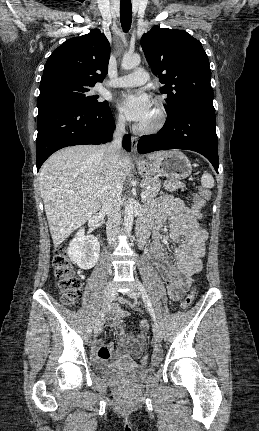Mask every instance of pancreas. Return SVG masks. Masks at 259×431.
<instances>
[{"label": "pancreas", "instance_id": "cf45deb5", "mask_svg": "<svg viewBox=\"0 0 259 431\" xmlns=\"http://www.w3.org/2000/svg\"><path fill=\"white\" fill-rule=\"evenodd\" d=\"M141 186L147 192V199H152L157 196L162 187L161 181L157 177L145 178L141 181ZM163 187L170 191H176L178 188H185V185L177 180L165 181Z\"/></svg>", "mask_w": 259, "mask_h": 431}]
</instances>
